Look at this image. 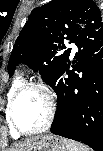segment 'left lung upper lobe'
<instances>
[{
  "label": "left lung upper lobe",
  "mask_w": 103,
  "mask_h": 151,
  "mask_svg": "<svg viewBox=\"0 0 103 151\" xmlns=\"http://www.w3.org/2000/svg\"><path fill=\"white\" fill-rule=\"evenodd\" d=\"M90 26L103 27L101 12L92 0H52L33 9L14 44L10 76L23 62L51 84L69 60L71 49L66 50L64 40L74 43Z\"/></svg>",
  "instance_id": "left-lung-upper-lobe-1"
}]
</instances>
